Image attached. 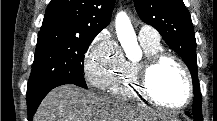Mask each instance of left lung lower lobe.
<instances>
[{
	"mask_svg": "<svg viewBox=\"0 0 217 121\" xmlns=\"http://www.w3.org/2000/svg\"><path fill=\"white\" fill-rule=\"evenodd\" d=\"M188 116H190V113L189 112H185Z\"/></svg>",
	"mask_w": 217,
	"mask_h": 121,
	"instance_id": "obj_1",
	"label": "left lung lower lobe"
}]
</instances>
